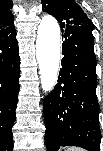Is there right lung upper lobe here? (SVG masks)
<instances>
[{
  "mask_svg": "<svg viewBox=\"0 0 103 151\" xmlns=\"http://www.w3.org/2000/svg\"><path fill=\"white\" fill-rule=\"evenodd\" d=\"M11 0H1L0 2V33H7L14 29V17L10 11Z\"/></svg>",
  "mask_w": 103,
  "mask_h": 151,
  "instance_id": "obj_1",
  "label": "right lung upper lobe"
}]
</instances>
